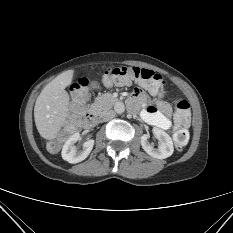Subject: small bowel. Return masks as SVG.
Here are the masks:
<instances>
[{
  "label": "small bowel",
  "instance_id": "1",
  "mask_svg": "<svg viewBox=\"0 0 233 233\" xmlns=\"http://www.w3.org/2000/svg\"><path fill=\"white\" fill-rule=\"evenodd\" d=\"M135 98L145 105L141 116L148 124L163 130L172 128V122L170 120L171 109L169 105L161 101L150 104L146 96L139 91L136 93Z\"/></svg>",
  "mask_w": 233,
  "mask_h": 233
}]
</instances>
